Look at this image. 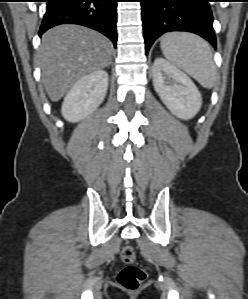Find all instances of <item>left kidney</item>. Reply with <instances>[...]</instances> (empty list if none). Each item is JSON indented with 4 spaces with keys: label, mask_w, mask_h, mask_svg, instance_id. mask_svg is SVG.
I'll list each match as a JSON object with an SVG mask.
<instances>
[{
    "label": "left kidney",
    "mask_w": 248,
    "mask_h": 299,
    "mask_svg": "<svg viewBox=\"0 0 248 299\" xmlns=\"http://www.w3.org/2000/svg\"><path fill=\"white\" fill-rule=\"evenodd\" d=\"M153 84L162 102L178 118L189 120L200 110L202 97L193 81L160 57L153 64Z\"/></svg>",
    "instance_id": "1"
}]
</instances>
